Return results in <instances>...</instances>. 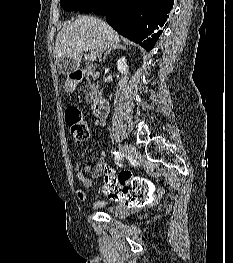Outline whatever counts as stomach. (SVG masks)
<instances>
[{"label":"stomach","instance_id":"0dacf381","mask_svg":"<svg viewBox=\"0 0 233 263\" xmlns=\"http://www.w3.org/2000/svg\"><path fill=\"white\" fill-rule=\"evenodd\" d=\"M76 84L70 80H68L65 84L66 90L68 92H72L75 89Z\"/></svg>","mask_w":233,"mask_h":263}]
</instances>
